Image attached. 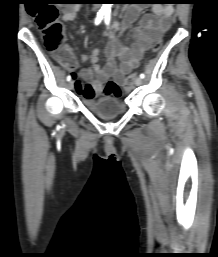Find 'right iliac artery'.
<instances>
[{
    "mask_svg": "<svg viewBox=\"0 0 218 257\" xmlns=\"http://www.w3.org/2000/svg\"><path fill=\"white\" fill-rule=\"evenodd\" d=\"M105 16V13L104 12H98L96 18H95V25H99L103 19V17ZM71 80V76L68 75L67 76V81H70Z\"/></svg>",
    "mask_w": 218,
    "mask_h": 257,
    "instance_id": "1",
    "label": "right iliac artery"
}]
</instances>
